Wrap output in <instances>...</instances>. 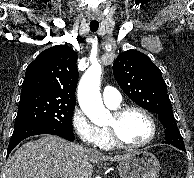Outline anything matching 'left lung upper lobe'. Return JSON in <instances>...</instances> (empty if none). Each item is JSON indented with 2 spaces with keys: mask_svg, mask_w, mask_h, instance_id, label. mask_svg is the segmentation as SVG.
<instances>
[{
  "mask_svg": "<svg viewBox=\"0 0 194 178\" xmlns=\"http://www.w3.org/2000/svg\"><path fill=\"white\" fill-rule=\"evenodd\" d=\"M113 74L129 98L156 113L164 127L177 128L167 85L148 56L137 50L121 53L113 64Z\"/></svg>",
  "mask_w": 194,
  "mask_h": 178,
  "instance_id": "1",
  "label": "left lung upper lobe"
}]
</instances>
